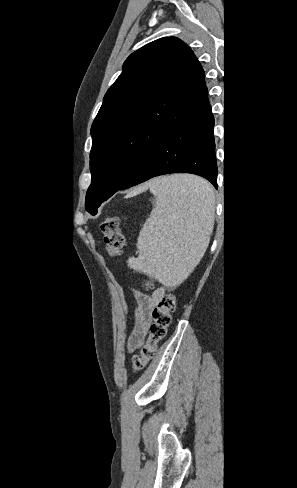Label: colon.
<instances>
[{"label":"colon","instance_id":"5ec220e1","mask_svg":"<svg viewBox=\"0 0 297 488\" xmlns=\"http://www.w3.org/2000/svg\"><path fill=\"white\" fill-rule=\"evenodd\" d=\"M101 230L104 234L108 254L112 257L120 256L125 245V239L120 230V218L115 215H108L101 223ZM151 286V283H146V287L150 288ZM176 302V297L172 294L164 295L159 300L152 313L148 340L132 359L134 371L144 369L155 356L158 343L165 337L167 328L171 324V314L176 308Z\"/></svg>","mask_w":297,"mask_h":488}]
</instances>
